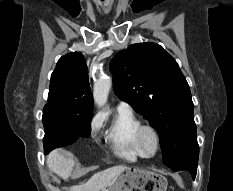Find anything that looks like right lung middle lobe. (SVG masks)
<instances>
[{
  "label": "right lung middle lobe",
  "mask_w": 233,
  "mask_h": 191,
  "mask_svg": "<svg viewBox=\"0 0 233 191\" xmlns=\"http://www.w3.org/2000/svg\"><path fill=\"white\" fill-rule=\"evenodd\" d=\"M93 111H73L59 106L45 105L42 121L45 153L57 147L74 143L79 137H88Z\"/></svg>",
  "instance_id": "right-lung-middle-lobe-1"
}]
</instances>
